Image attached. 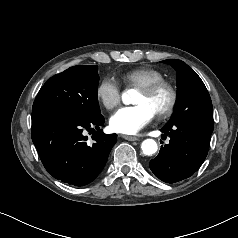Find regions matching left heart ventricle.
<instances>
[{"label":"left heart ventricle","instance_id":"left-heart-ventricle-1","mask_svg":"<svg viewBox=\"0 0 238 238\" xmlns=\"http://www.w3.org/2000/svg\"><path fill=\"white\" fill-rule=\"evenodd\" d=\"M169 100V95L166 91L161 90L156 94L149 96L139 90L138 95L136 97L135 103H146L148 104L155 112L163 109Z\"/></svg>","mask_w":238,"mask_h":238}]
</instances>
